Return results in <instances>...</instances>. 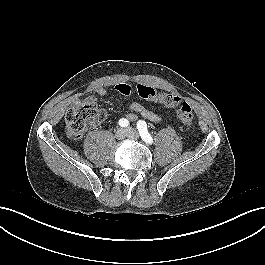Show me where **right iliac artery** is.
I'll list each match as a JSON object with an SVG mask.
<instances>
[{"label":"right iliac artery","instance_id":"right-iliac-artery-1","mask_svg":"<svg viewBox=\"0 0 265 265\" xmlns=\"http://www.w3.org/2000/svg\"><path fill=\"white\" fill-rule=\"evenodd\" d=\"M118 123L121 127H127L129 125V121L125 118L120 119Z\"/></svg>","mask_w":265,"mask_h":265}]
</instances>
